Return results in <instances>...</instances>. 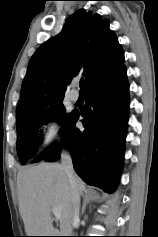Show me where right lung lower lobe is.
<instances>
[{"label": "right lung lower lobe", "instance_id": "right-lung-lower-lobe-1", "mask_svg": "<svg viewBox=\"0 0 158 237\" xmlns=\"http://www.w3.org/2000/svg\"><path fill=\"white\" fill-rule=\"evenodd\" d=\"M128 89L126 68L122 64L86 89V103L81 111L84 129L75 126L78 112H72L63 128L76 173L87 184L108 193L116 189L122 169L129 110ZM59 157V144H54L33 162L42 158L52 162Z\"/></svg>", "mask_w": 158, "mask_h": 237}]
</instances>
